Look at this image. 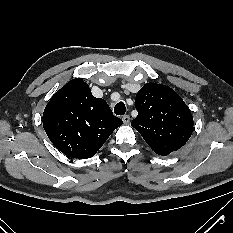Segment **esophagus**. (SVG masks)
<instances>
[{"label":"esophagus","instance_id":"1","mask_svg":"<svg viewBox=\"0 0 233 233\" xmlns=\"http://www.w3.org/2000/svg\"><path fill=\"white\" fill-rule=\"evenodd\" d=\"M122 120H123L124 124H129V122H130V116L129 115H124L122 117Z\"/></svg>","mask_w":233,"mask_h":233}]
</instances>
